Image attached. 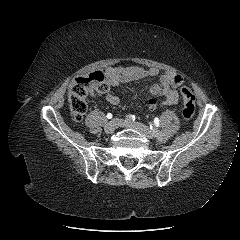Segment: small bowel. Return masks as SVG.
<instances>
[{"label": "small bowel", "instance_id": "c3829d8e", "mask_svg": "<svg viewBox=\"0 0 240 240\" xmlns=\"http://www.w3.org/2000/svg\"><path fill=\"white\" fill-rule=\"evenodd\" d=\"M108 81L106 87V99L110 104H118L120 99L112 91V88L120 83H126L133 80H138L146 77L159 76V83L150 87L149 91L152 97L148 101V106L151 110H154L161 106L175 105L178 103L179 97L174 87L179 86L183 79L174 72L167 71L160 75V70L156 67H110L108 68ZM156 97H162L161 100H157Z\"/></svg>", "mask_w": 240, "mask_h": 240}]
</instances>
